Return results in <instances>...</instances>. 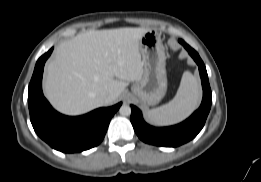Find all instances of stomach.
Masks as SVG:
<instances>
[{
  "label": "stomach",
  "mask_w": 261,
  "mask_h": 182,
  "mask_svg": "<svg viewBox=\"0 0 261 182\" xmlns=\"http://www.w3.org/2000/svg\"><path fill=\"white\" fill-rule=\"evenodd\" d=\"M139 52L144 72L131 90L142 106H153L167 91L166 56L157 31L150 29L141 37Z\"/></svg>",
  "instance_id": "1"
}]
</instances>
